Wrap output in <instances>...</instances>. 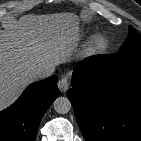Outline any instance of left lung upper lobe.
<instances>
[{
  "instance_id": "obj_1",
  "label": "left lung upper lobe",
  "mask_w": 141,
  "mask_h": 141,
  "mask_svg": "<svg viewBox=\"0 0 141 141\" xmlns=\"http://www.w3.org/2000/svg\"><path fill=\"white\" fill-rule=\"evenodd\" d=\"M130 50H141V34H139L131 26L129 27V36L120 47L119 52H126Z\"/></svg>"
}]
</instances>
